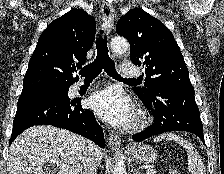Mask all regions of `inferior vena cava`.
<instances>
[{"label":"inferior vena cava","mask_w":224,"mask_h":174,"mask_svg":"<svg viewBox=\"0 0 224 174\" xmlns=\"http://www.w3.org/2000/svg\"><path fill=\"white\" fill-rule=\"evenodd\" d=\"M99 153V148L91 141H88L83 147V155L77 174H97V156Z\"/></svg>","instance_id":"602c4592"}]
</instances>
